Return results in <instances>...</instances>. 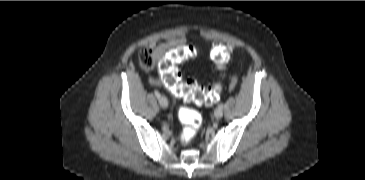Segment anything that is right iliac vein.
I'll return each instance as SVG.
<instances>
[{"label":"right iliac vein","mask_w":365,"mask_h":180,"mask_svg":"<svg viewBox=\"0 0 365 180\" xmlns=\"http://www.w3.org/2000/svg\"><path fill=\"white\" fill-rule=\"evenodd\" d=\"M159 104L162 108H167L168 107V100L165 96H160L159 98Z\"/></svg>","instance_id":"1"}]
</instances>
